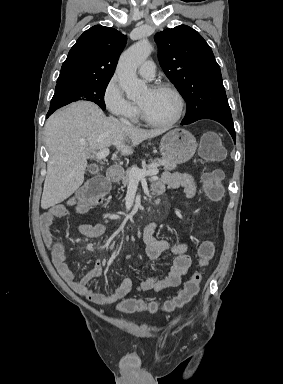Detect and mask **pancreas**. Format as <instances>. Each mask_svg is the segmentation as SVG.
<instances>
[{
	"mask_svg": "<svg viewBox=\"0 0 283 384\" xmlns=\"http://www.w3.org/2000/svg\"><path fill=\"white\" fill-rule=\"evenodd\" d=\"M150 162L151 164H148V166H150V170H153V168H159V166H163V170H165V172H171V170H175L176 168V164L167 162V160H150ZM116 168H118L120 172V180L124 188H126V186H129L130 184V170H132V168H128L126 172H124L121 166H116ZM133 168H137V166H133ZM111 182H115V180H111Z\"/></svg>",
	"mask_w": 283,
	"mask_h": 384,
	"instance_id": "pancreas-1",
	"label": "pancreas"
}]
</instances>
